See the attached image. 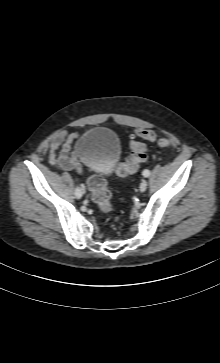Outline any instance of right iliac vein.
Here are the masks:
<instances>
[{
    "label": "right iliac vein",
    "instance_id": "right-iliac-vein-1",
    "mask_svg": "<svg viewBox=\"0 0 220 363\" xmlns=\"http://www.w3.org/2000/svg\"><path fill=\"white\" fill-rule=\"evenodd\" d=\"M81 193H82V194H84V193H85V188H84V186H83V185L81 186Z\"/></svg>",
    "mask_w": 220,
    "mask_h": 363
}]
</instances>
